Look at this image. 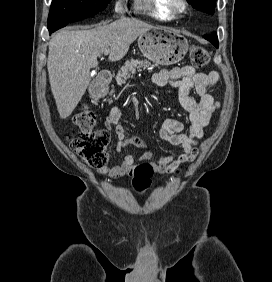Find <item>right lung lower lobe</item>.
Instances as JSON below:
<instances>
[{
    "label": "right lung lower lobe",
    "instance_id": "right-lung-lower-lobe-1",
    "mask_svg": "<svg viewBox=\"0 0 272 282\" xmlns=\"http://www.w3.org/2000/svg\"><path fill=\"white\" fill-rule=\"evenodd\" d=\"M95 14L96 13L80 14V15L74 16L72 18L60 19V20L54 21V22L48 24L49 34H52L54 31L66 26L68 23L76 22V21L88 18L90 16H93Z\"/></svg>",
    "mask_w": 272,
    "mask_h": 282
}]
</instances>
